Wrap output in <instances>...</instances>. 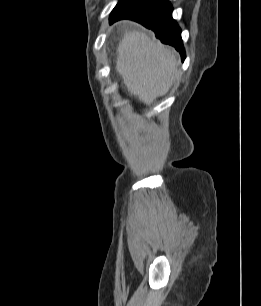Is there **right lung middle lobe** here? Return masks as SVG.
<instances>
[{"mask_svg": "<svg viewBox=\"0 0 261 306\" xmlns=\"http://www.w3.org/2000/svg\"><path fill=\"white\" fill-rule=\"evenodd\" d=\"M130 2H131V0H120L119 3L116 5V7L114 8L113 11L119 10L120 8L124 7L125 5H127Z\"/></svg>", "mask_w": 261, "mask_h": 306, "instance_id": "1", "label": "right lung middle lobe"}]
</instances>
